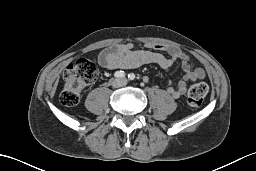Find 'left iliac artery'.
<instances>
[{
  "mask_svg": "<svg viewBox=\"0 0 256 171\" xmlns=\"http://www.w3.org/2000/svg\"><path fill=\"white\" fill-rule=\"evenodd\" d=\"M128 79L129 80H134L135 79V74L134 73L128 74Z\"/></svg>",
  "mask_w": 256,
  "mask_h": 171,
  "instance_id": "left-iliac-artery-1",
  "label": "left iliac artery"
}]
</instances>
